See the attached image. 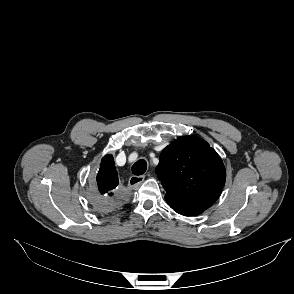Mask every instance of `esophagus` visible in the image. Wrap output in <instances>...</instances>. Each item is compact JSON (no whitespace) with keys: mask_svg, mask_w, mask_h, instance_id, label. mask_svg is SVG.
Instances as JSON below:
<instances>
[{"mask_svg":"<svg viewBox=\"0 0 294 294\" xmlns=\"http://www.w3.org/2000/svg\"><path fill=\"white\" fill-rule=\"evenodd\" d=\"M145 176L140 175V176H131L129 179V185L133 188H138L144 181Z\"/></svg>","mask_w":294,"mask_h":294,"instance_id":"obj_1","label":"esophagus"}]
</instances>
